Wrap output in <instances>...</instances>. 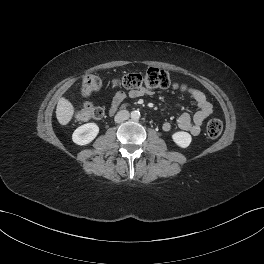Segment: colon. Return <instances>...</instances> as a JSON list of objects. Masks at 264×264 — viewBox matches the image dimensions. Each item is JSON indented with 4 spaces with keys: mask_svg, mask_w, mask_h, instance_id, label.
<instances>
[{
    "mask_svg": "<svg viewBox=\"0 0 264 264\" xmlns=\"http://www.w3.org/2000/svg\"><path fill=\"white\" fill-rule=\"evenodd\" d=\"M114 87H124L130 90L139 89H163L168 87H177V84L171 81V78L165 70L159 68H149L144 74L129 73L121 78L112 80ZM105 86V81L96 75H87L82 82L81 92L83 96L90 97ZM104 115L102 108L91 104L85 105L75 114L77 120L100 119ZM223 124L221 120L213 118L206 125V133L210 138H217L221 135Z\"/></svg>",
    "mask_w": 264,
    "mask_h": 264,
    "instance_id": "5ec220e1",
    "label": "colon"
}]
</instances>
